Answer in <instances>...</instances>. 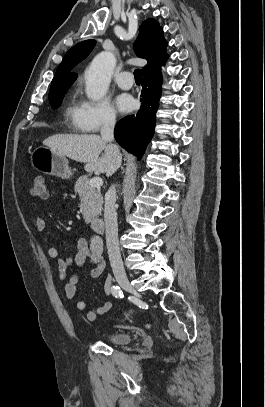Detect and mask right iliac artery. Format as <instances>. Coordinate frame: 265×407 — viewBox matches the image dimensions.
I'll list each match as a JSON object with an SVG mask.
<instances>
[{
  "label": "right iliac artery",
  "mask_w": 265,
  "mask_h": 407,
  "mask_svg": "<svg viewBox=\"0 0 265 407\" xmlns=\"http://www.w3.org/2000/svg\"><path fill=\"white\" fill-rule=\"evenodd\" d=\"M111 293L116 298H123L124 297L123 292H122V290L120 289L119 286H113L112 289H111Z\"/></svg>",
  "instance_id": "1"
}]
</instances>
